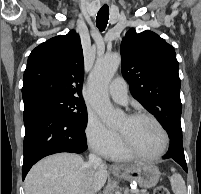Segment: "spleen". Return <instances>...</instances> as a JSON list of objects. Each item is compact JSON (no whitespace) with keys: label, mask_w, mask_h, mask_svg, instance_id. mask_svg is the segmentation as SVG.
<instances>
[{"label":"spleen","mask_w":201,"mask_h":194,"mask_svg":"<svg viewBox=\"0 0 201 194\" xmlns=\"http://www.w3.org/2000/svg\"><path fill=\"white\" fill-rule=\"evenodd\" d=\"M173 175L171 176L170 182L174 194H186V185L182 176L175 173V169L171 168Z\"/></svg>","instance_id":"obj_1"}]
</instances>
